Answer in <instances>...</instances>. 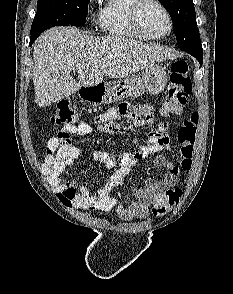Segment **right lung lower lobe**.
Instances as JSON below:
<instances>
[{"instance_id":"1","label":"right lung lower lobe","mask_w":233,"mask_h":294,"mask_svg":"<svg viewBox=\"0 0 233 294\" xmlns=\"http://www.w3.org/2000/svg\"><path fill=\"white\" fill-rule=\"evenodd\" d=\"M37 38H30V45L34 42Z\"/></svg>"}]
</instances>
